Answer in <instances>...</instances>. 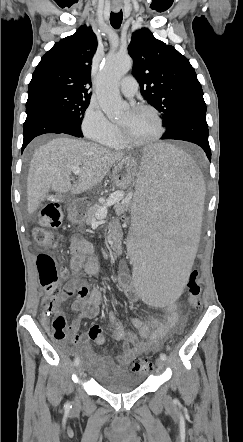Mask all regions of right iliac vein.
I'll list each match as a JSON object with an SVG mask.
<instances>
[{"instance_id": "1", "label": "right iliac vein", "mask_w": 243, "mask_h": 442, "mask_svg": "<svg viewBox=\"0 0 243 442\" xmlns=\"http://www.w3.org/2000/svg\"><path fill=\"white\" fill-rule=\"evenodd\" d=\"M83 371H84V368H83V364L82 363H80V364H78V366H77V374H78V376H82L83 375ZM78 399H76V403L78 404Z\"/></svg>"}]
</instances>
